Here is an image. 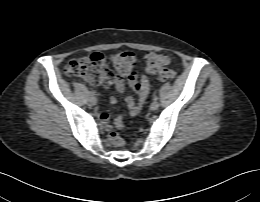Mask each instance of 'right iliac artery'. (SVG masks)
Segmentation results:
<instances>
[{"label":"right iliac artery","instance_id":"right-iliac-artery-1","mask_svg":"<svg viewBox=\"0 0 260 202\" xmlns=\"http://www.w3.org/2000/svg\"><path fill=\"white\" fill-rule=\"evenodd\" d=\"M90 95L91 96H95V92L94 91H90Z\"/></svg>","mask_w":260,"mask_h":202}]
</instances>
